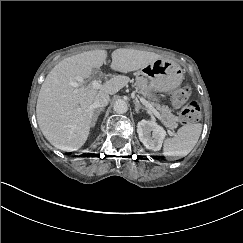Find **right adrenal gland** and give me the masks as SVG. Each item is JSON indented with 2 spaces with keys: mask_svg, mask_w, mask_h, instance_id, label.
<instances>
[{
  "mask_svg": "<svg viewBox=\"0 0 243 243\" xmlns=\"http://www.w3.org/2000/svg\"><path fill=\"white\" fill-rule=\"evenodd\" d=\"M103 111H104V108H98V109L95 110L94 117H93V120H92V126H94L96 124L99 115Z\"/></svg>",
  "mask_w": 243,
  "mask_h": 243,
  "instance_id": "1",
  "label": "right adrenal gland"
}]
</instances>
